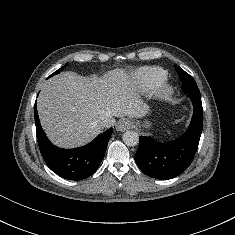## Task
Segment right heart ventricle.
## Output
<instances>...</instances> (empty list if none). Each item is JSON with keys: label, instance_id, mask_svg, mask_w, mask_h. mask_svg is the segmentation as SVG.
I'll return each instance as SVG.
<instances>
[{"label": "right heart ventricle", "instance_id": "e07e8e85", "mask_svg": "<svg viewBox=\"0 0 235 235\" xmlns=\"http://www.w3.org/2000/svg\"><path fill=\"white\" fill-rule=\"evenodd\" d=\"M133 78L141 90L150 91L167 78V71L161 67L143 66L135 70Z\"/></svg>", "mask_w": 235, "mask_h": 235}]
</instances>
